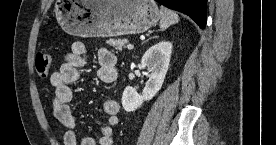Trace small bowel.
I'll return each mask as SVG.
<instances>
[{
    "instance_id": "small-bowel-1",
    "label": "small bowel",
    "mask_w": 276,
    "mask_h": 145,
    "mask_svg": "<svg viewBox=\"0 0 276 145\" xmlns=\"http://www.w3.org/2000/svg\"><path fill=\"white\" fill-rule=\"evenodd\" d=\"M86 45L81 41H75L71 50L64 57V63L50 76V83L55 89L53 98V112L56 119L65 128L63 133L64 145H112L113 128L119 123V105L111 97L103 100L102 107L107 115V123L100 130L98 140L77 132V123L70 106L73 98V89L70 84L76 82L80 75V69L86 64ZM97 59L99 63L98 78L102 83L111 84L117 78L116 55L106 49L98 50Z\"/></svg>"
}]
</instances>
